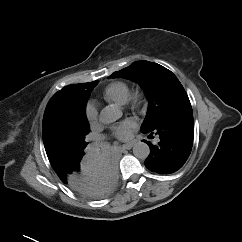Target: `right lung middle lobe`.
Listing matches in <instances>:
<instances>
[{
  "instance_id": "obj_1",
  "label": "right lung middle lobe",
  "mask_w": 242,
  "mask_h": 242,
  "mask_svg": "<svg viewBox=\"0 0 242 242\" xmlns=\"http://www.w3.org/2000/svg\"><path fill=\"white\" fill-rule=\"evenodd\" d=\"M98 81H94L92 89ZM85 104L74 115L56 118L50 127L47 147L53 158L58 160H74L84 156V148L88 143L85 136L89 133V123L85 114Z\"/></svg>"
}]
</instances>
